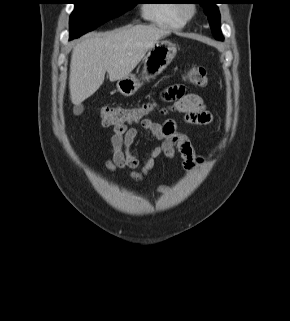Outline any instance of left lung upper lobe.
Segmentation results:
<instances>
[{"mask_svg":"<svg viewBox=\"0 0 290 321\" xmlns=\"http://www.w3.org/2000/svg\"><path fill=\"white\" fill-rule=\"evenodd\" d=\"M200 4L204 8L205 14L208 16V20L211 26L212 34L215 38L223 40V36L220 31V13L218 7L215 5L216 0H200Z\"/></svg>","mask_w":290,"mask_h":321,"instance_id":"obj_1","label":"left lung upper lobe"}]
</instances>
